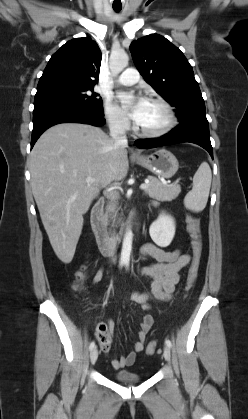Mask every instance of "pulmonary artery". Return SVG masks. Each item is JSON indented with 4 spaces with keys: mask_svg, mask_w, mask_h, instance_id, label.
<instances>
[{
    "mask_svg": "<svg viewBox=\"0 0 248 419\" xmlns=\"http://www.w3.org/2000/svg\"><path fill=\"white\" fill-rule=\"evenodd\" d=\"M139 73L134 68L126 69L118 78L117 82L120 85L131 86L139 81Z\"/></svg>",
    "mask_w": 248,
    "mask_h": 419,
    "instance_id": "pulmonary-artery-1",
    "label": "pulmonary artery"
}]
</instances>
